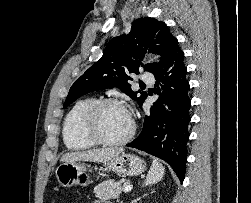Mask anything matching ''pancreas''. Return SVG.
I'll return each mask as SVG.
<instances>
[{
  "label": "pancreas",
  "mask_w": 251,
  "mask_h": 203,
  "mask_svg": "<svg viewBox=\"0 0 251 203\" xmlns=\"http://www.w3.org/2000/svg\"><path fill=\"white\" fill-rule=\"evenodd\" d=\"M128 184V182H126ZM123 187H121L114 180H106L101 182L94 188V193L100 200H109L112 198H117L122 192Z\"/></svg>",
  "instance_id": "pancreas-1"
}]
</instances>
